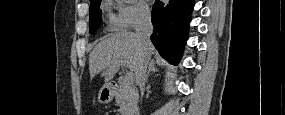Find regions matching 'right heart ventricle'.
Listing matches in <instances>:
<instances>
[{
    "label": "right heart ventricle",
    "instance_id": "obj_1",
    "mask_svg": "<svg viewBox=\"0 0 285 115\" xmlns=\"http://www.w3.org/2000/svg\"><path fill=\"white\" fill-rule=\"evenodd\" d=\"M110 22H111L112 27H118L119 26L118 19L116 16L112 15Z\"/></svg>",
    "mask_w": 285,
    "mask_h": 115
}]
</instances>
